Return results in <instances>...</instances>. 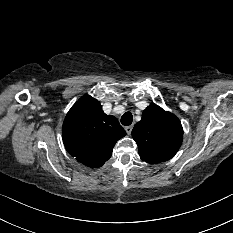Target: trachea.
I'll list each match as a JSON object with an SVG mask.
<instances>
[{
    "mask_svg": "<svg viewBox=\"0 0 233 233\" xmlns=\"http://www.w3.org/2000/svg\"><path fill=\"white\" fill-rule=\"evenodd\" d=\"M133 121V115L131 112H126L122 117H121V123L125 126H128L132 123Z\"/></svg>",
    "mask_w": 233,
    "mask_h": 233,
    "instance_id": "1",
    "label": "trachea"
}]
</instances>
